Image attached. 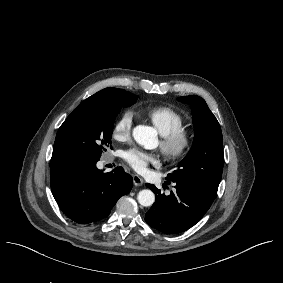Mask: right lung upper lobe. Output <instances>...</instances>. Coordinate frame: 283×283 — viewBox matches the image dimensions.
<instances>
[{"instance_id":"obj_1","label":"right lung upper lobe","mask_w":283,"mask_h":283,"mask_svg":"<svg viewBox=\"0 0 283 283\" xmlns=\"http://www.w3.org/2000/svg\"><path fill=\"white\" fill-rule=\"evenodd\" d=\"M119 92H127L125 90H121V89H117V88H105L97 93H95L94 95L90 96L89 98H87L86 100H84L82 103H86L89 101H95V100H99L105 97H108L110 95L119 93ZM65 163H68V161H66L65 158H63L56 147V144L54 143V148H53V154H52V158L50 161V167H55V166H59V165H63Z\"/></svg>"}]
</instances>
